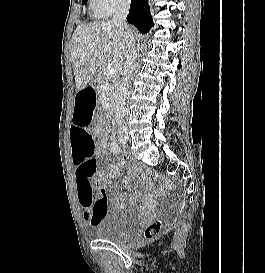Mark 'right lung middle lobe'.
<instances>
[{"instance_id": "dd1d6c3e", "label": "right lung middle lobe", "mask_w": 265, "mask_h": 273, "mask_svg": "<svg viewBox=\"0 0 265 273\" xmlns=\"http://www.w3.org/2000/svg\"><path fill=\"white\" fill-rule=\"evenodd\" d=\"M87 3V0H82V4H86Z\"/></svg>"}]
</instances>
